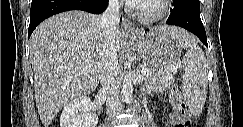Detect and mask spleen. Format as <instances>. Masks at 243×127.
Instances as JSON below:
<instances>
[{
    "mask_svg": "<svg viewBox=\"0 0 243 127\" xmlns=\"http://www.w3.org/2000/svg\"><path fill=\"white\" fill-rule=\"evenodd\" d=\"M178 44L187 50L182 61L175 67H182V92L184 99L193 113H200L207 97L208 64L202 49L193 36L186 32H171Z\"/></svg>",
    "mask_w": 243,
    "mask_h": 127,
    "instance_id": "1",
    "label": "spleen"
}]
</instances>
